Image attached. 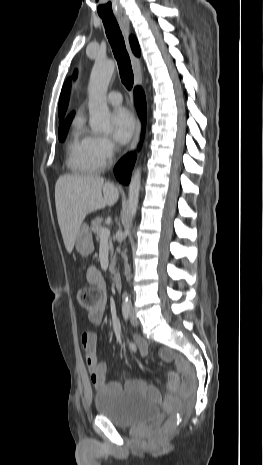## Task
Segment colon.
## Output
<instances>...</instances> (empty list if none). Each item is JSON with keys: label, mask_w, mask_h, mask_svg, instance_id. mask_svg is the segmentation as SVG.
<instances>
[{"label": "colon", "mask_w": 263, "mask_h": 465, "mask_svg": "<svg viewBox=\"0 0 263 465\" xmlns=\"http://www.w3.org/2000/svg\"><path fill=\"white\" fill-rule=\"evenodd\" d=\"M77 300L79 305L86 311L90 312L96 308L98 303L101 300V292L98 289L92 287H83L77 292ZM188 384L190 381L188 380ZM165 407L167 410L172 411L176 407V403L166 400ZM176 423L174 416H171L167 419L165 423L166 428H172Z\"/></svg>", "instance_id": "colon-1"}]
</instances>
